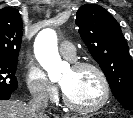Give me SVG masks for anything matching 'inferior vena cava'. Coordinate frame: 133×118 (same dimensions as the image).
Returning a JSON list of instances; mask_svg holds the SVG:
<instances>
[{
	"label": "inferior vena cava",
	"instance_id": "inferior-vena-cava-1",
	"mask_svg": "<svg viewBox=\"0 0 133 118\" xmlns=\"http://www.w3.org/2000/svg\"><path fill=\"white\" fill-rule=\"evenodd\" d=\"M48 106V95L45 92L37 94L28 105L29 118H45L44 112Z\"/></svg>",
	"mask_w": 133,
	"mask_h": 118
}]
</instances>
